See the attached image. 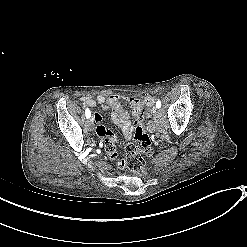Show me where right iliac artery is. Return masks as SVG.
I'll return each instance as SVG.
<instances>
[{"instance_id":"1","label":"right iliac artery","mask_w":247,"mask_h":247,"mask_svg":"<svg viewBox=\"0 0 247 247\" xmlns=\"http://www.w3.org/2000/svg\"><path fill=\"white\" fill-rule=\"evenodd\" d=\"M85 115H86V118H90L91 116V112L88 108L85 110Z\"/></svg>"}]
</instances>
